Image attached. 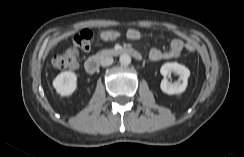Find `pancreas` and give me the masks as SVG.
<instances>
[{
  "mask_svg": "<svg viewBox=\"0 0 244 157\" xmlns=\"http://www.w3.org/2000/svg\"><path fill=\"white\" fill-rule=\"evenodd\" d=\"M108 51L107 50H103L101 52L98 53L99 56H102L103 54L107 53Z\"/></svg>",
  "mask_w": 244,
  "mask_h": 157,
  "instance_id": "obj_1",
  "label": "pancreas"
}]
</instances>
